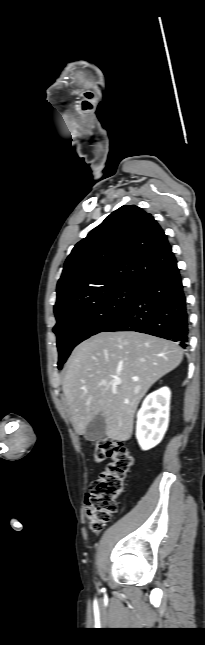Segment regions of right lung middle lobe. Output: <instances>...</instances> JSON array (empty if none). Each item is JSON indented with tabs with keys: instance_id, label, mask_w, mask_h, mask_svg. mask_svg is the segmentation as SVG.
Segmentation results:
<instances>
[{
	"instance_id": "dd1d6c3e",
	"label": "right lung middle lobe",
	"mask_w": 205,
	"mask_h": 645,
	"mask_svg": "<svg viewBox=\"0 0 205 645\" xmlns=\"http://www.w3.org/2000/svg\"><path fill=\"white\" fill-rule=\"evenodd\" d=\"M135 294L136 284H125L81 298L56 313L53 332L57 335L58 369L77 344L101 332L123 313L134 302Z\"/></svg>"
}]
</instances>
